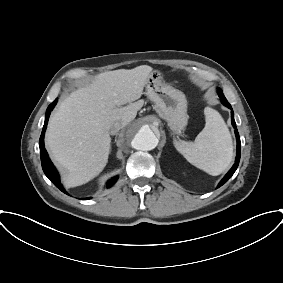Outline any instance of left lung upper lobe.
Returning a JSON list of instances; mask_svg holds the SVG:
<instances>
[{"label":"left lung upper lobe","instance_id":"obj_1","mask_svg":"<svg viewBox=\"0 0 283 283\" xmlns=\"http://www.w3.org/2000/svg\"><path fill=\"white\" fill-rule=\"evenodd\" d=\"M219 94H220V95H223V92H222L221 89L218 90V95H219Z\"/></svg>","mask_w":283,"mask_h":283}]
</instances>
